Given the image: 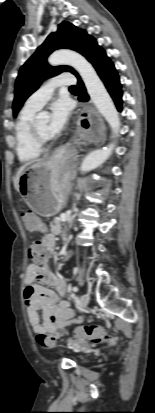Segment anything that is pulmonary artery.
Listing matches in <instances>:
<instances>
[{
	"label": "pulmonary artery",
	"instance_id": "1",
	"mask_svg": "<svg viewBox=\"0 0 155 413\" xmlns=\"http://www.w3.org/2000/svg\"><path fill=\"white\" fill-rule=\"evenodd\" d=\"M76 79L71 73L59 74L49 79L40 89L34 92L26 101L25 106L39 110L51 98L55 88L63 85H73Z\"/></svg>",
	"mask_w": 155,
	"mask_h": 413
}]
</instances>
